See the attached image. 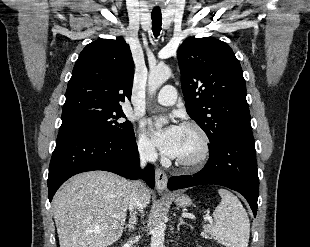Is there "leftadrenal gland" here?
<instances>
[{
  "label": "left adrenal gland",
  "instance_id": "left-adrenal-gland-1",
  "mask_svg": "<svg viewBox=\"0 0 310 247\" xmlns=\"http://www.w3.org/2000/svg\"><path fill=\"white\" fill-rule=\"evenodd\" d=\"M184 224H186V223L184 222L183 218L180 217V218H179V223H178V225H177L178 230H179V228H180V225H184Z\"/></svg>",
  "mask_w": 310,
  "mask_h": 247
}]
</instances>
